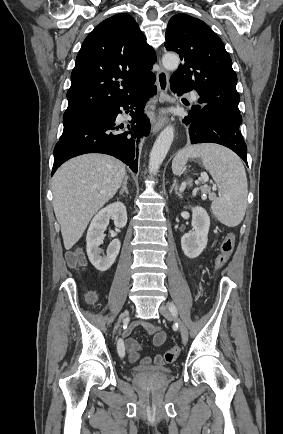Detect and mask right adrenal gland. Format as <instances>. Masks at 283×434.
Listing matches in <instances>:
<instances>
[{
	"instance_id": "right-adrenal-gland-1",
	"label": "right adrenal gland",
	"mask_w": 283,
	"mask_h": 434,
	"mask_svg": "<svg viewBox=\"0 0 283 434\" xmlns=\"http://www.w3.org/2000/svg\"><path fill=\"white\" fill-rule=\"evenodd\" d=\"M129 177L126 175L123 181V185L122 188L120 189L119 194L123 195L124 193H126L127 195L129 194L128 189H127V181H128Z\"/></svg>"
}]
</instances>
